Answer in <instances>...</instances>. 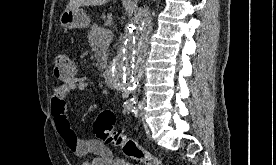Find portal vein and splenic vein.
Listing matches in <instances>:
<instances>
[{
	"label": "portal vein and splenic vein",
	"instance_id": "obj_1",
	"mask_svg": "<svg viewBox=\"0 0 276 165\" xmlns=\"http://www.w3.org/2000/svg\"><path fill=\"white\" fill-rule=\"evenodd\" d=\"M100 34L101 37H109L112 34V32L109 29H103Z\"/></svg>",
	"mask_w": 276,
	"mask_h": 165
}]
</instances>
